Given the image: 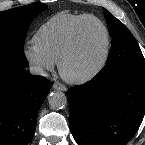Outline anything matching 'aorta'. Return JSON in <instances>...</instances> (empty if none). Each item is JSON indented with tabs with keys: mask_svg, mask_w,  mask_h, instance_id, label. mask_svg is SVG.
<instances>
[{
	"mask_svg": "<svg viewBox=\"0 0 145 145\" xmlns=\"http://www.w3.org/2000/svg\"><path fill=\"white\" fill-rule=\"evenodd\" d=\"M49 105L55 109L60 110L67 104V97L62 91H53L48 95Z\"/></svg>",
	"mask_w": 145,
	"mask_h": 145,
	"instance_id": "aorta-1",
	"label": "aorta"
}]
</instances>
